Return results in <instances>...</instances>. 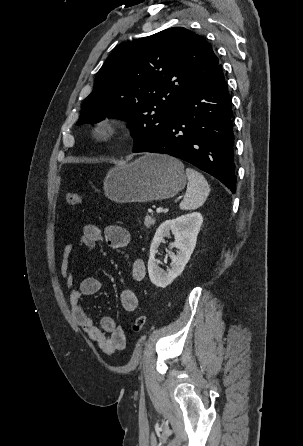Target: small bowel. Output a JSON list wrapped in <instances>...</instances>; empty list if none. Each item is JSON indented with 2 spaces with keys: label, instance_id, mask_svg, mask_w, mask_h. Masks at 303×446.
<instances>
[{
  "label": "small bowel",
  "instance_id": "c3829d8e",
  "mask_svg": "<svg viewBox=\"0 0 303 446\" xmlns=\"http://www.w3.org/2000/svg\"><path fill=\"white\" fill-rule=\"evenodd\" d=\"M105 242L113 249H121L130 241L129 231L120 225H108L102 231L94 224H87L83 228L79 244L87 249H92L99 241ZM74 245L66 243L62 249V262L60 272L66 286L71 289L69 296L70 309L73 318L87 336L94 341L103 353L114 355L117 351L124 350L127 345L125 332L117 325L116 319L110 315H104L100 319V326L94 325L90 315L82 305L83 296H91L99 292L101 282L95 276L83 278L78 288H74V276L72 273V254ZM146 276V264L143 259H135L131 266V277L134 281H141ZM120 302L127 312H134L138 308V297L132 289H124L120 295Z\"/></svg>",
  "mask_w": 303,
  "mask_h": 446
}]
</instances>
